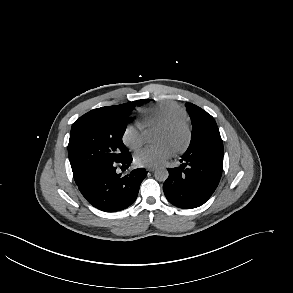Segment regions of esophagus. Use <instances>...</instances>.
Segmentation results:
<instances>
[{
	"instance_id": "esophagus-1",
	"label": "esophagus",
	"mask_w": 293,
	"mask_h": 293,
	"mask_svg": "<svg viewBox=\"0 0 293 293\" xmlns=\"http://www.w3.org/2000/svg\"><path fill=\"white\" fill-rule=\"evenodd\" d=\"M146 170H147L148 172H153V171L156 170V167H147Z\"/></svg>"
}]
</instances>
